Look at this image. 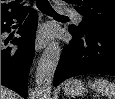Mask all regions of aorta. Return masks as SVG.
Instances as JSON below:
<instances>
[{"label":"aorta","instance_id":"obj_1","mask_svg":"<svg viewBox=\"0 0 115 99\" xmlns=\"http://www.w3.org/2000/svg\"><path fill=\"white\" fill-rule=\"evenodd\" d=\"M61 49L58 42L50 43L43 52L36 72L37 97L48 99L51 94V84L60 59Z\"/></svg>","mask_w":115,"mask_h":99}]
</instances>
